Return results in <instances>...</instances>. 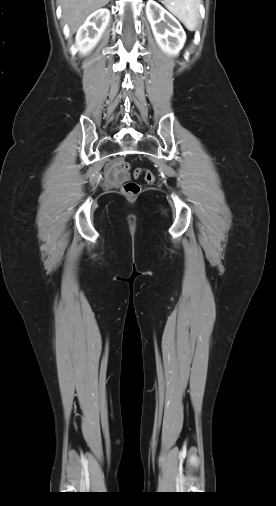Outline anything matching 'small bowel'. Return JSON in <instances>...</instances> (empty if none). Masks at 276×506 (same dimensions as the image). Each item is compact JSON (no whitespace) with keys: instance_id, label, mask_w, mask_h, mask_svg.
<instances>
[{"instance_id":"small-bowel-1","label":"small bowel","mask_w":276,"mask_h":506,"mask_svg":"<svg viewBox=\"0 0 276 506\" xmlns=\"http://www.w3.org/2000/svg\"><path fill=\"white\" fill-rule=\"evenodd\" d=\"M117 162L118 161L111 163L106 169V179L105 180H106L107 185H110V186L117 185V184L125 181L126 179H128V174L122 173L119 171V169L116 168L115 164Z\"/></svg>"}]
</instances>
